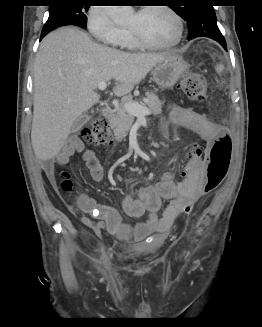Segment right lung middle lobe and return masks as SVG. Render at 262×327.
Returning <instances> with one entry per match:
<instances>
[{"label":"right lung middle lobe","instance_id":"1","mask_svg":"<svg viewBox=\"0 0 262 327\" xmlns=\"http://www.w3.org/2000/svg\"><path fill=\"white\" fill-rule=\"evenodd\" d=\"M56 4L49 6V18L42 31L54 30L65 25L86 27L89 6L76 4V0H55Z\"/></svg>","mask_w":262,"mask_h":327}]
</instances>
